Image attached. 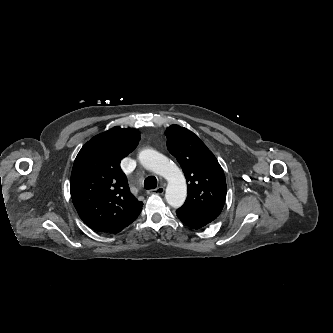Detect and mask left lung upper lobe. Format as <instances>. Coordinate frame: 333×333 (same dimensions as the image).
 Segmentation results:
<instances>
[{
	"instance_id": "left-lung-upper-lobe-1",
	"label": "left lung upper lobe",
	"mask_w": 333,
	"mask_h": 333,
	"mask_svg": "<svg viewBox=\"0 0 333 333\" xmlns=\"http://www.w3.org/2000/svg\"><path fill=\"white\" fill-rule=\"evenodd\" d=\"M167 148L179 162L188 185L184 209L218 217L226 199L222 167L214 154L191 131L179 125L166 129Z\"/></svg>"
}]
</instances>
